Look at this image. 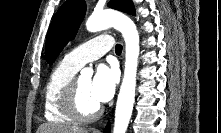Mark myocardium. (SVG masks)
I'll return each instance as SVG.
<instances>
[{
    "label": "myocardium",
    "instance_id": "myocardium-1",
    "mask_svg": "<svg viewBox=\"0 0 221 133\" xmlns=\"http://www.w3.org/2000/svg\"><path fill=\"white\" fill-rule=\"evenodd\" d=\"M78 81L79 78L74 77L62 90L60 96V105L63 112L76 122H90L97 119L102 112V107L100 104L98 107L91 113L82 112L79 105L78 97Z\"/></svg>",
    "mask_w": 221,
    "mask_h": 133
}]
</instances>
